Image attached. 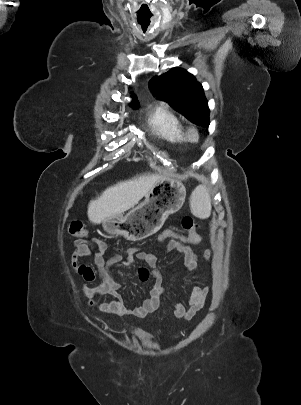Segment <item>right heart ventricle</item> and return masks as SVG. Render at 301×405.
Returning <instances> with one entry per match:
<instances>
[{"label": "right heart ventricle", "instance_id": "1", "mask_svg": "<svg viewBox=\"0 0 301 405\" xmlns=\"http://www.w3.org/2000/svg\"><path fill=\"white\" fill-rule=\"evenodd\" d=\"M149 130L161 139L171 143L186 140L185 131L180 119L165 107H156L146 116Z\"/></svg>", "mask_w": 301, "mask_h": 405}]
</instances>
